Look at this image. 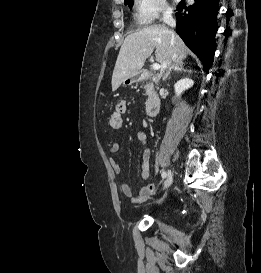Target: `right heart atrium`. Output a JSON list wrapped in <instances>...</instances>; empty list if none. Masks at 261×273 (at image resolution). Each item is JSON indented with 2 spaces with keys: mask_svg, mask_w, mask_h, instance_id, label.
<instances>
[{
  "mask_svg": "<svg viewBox=\"0 0 261 273\" xmlns=\"http://www.w3.org/2000/svg\"><path fill=\"white\" fill-rule=\"evenodd\" d=\"M135 8L139 21L144 24L167 17L171 12L166 0H135Z\"/></svg>",
  "mask_w": 261,
  "mask_h": 273,
  "instance_id": "1",
  "label": "right heart atrium"
}]
</instances>
